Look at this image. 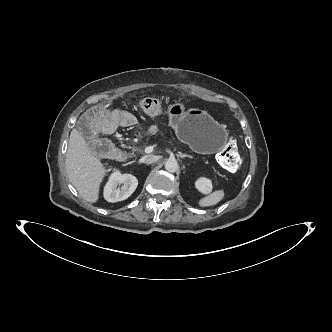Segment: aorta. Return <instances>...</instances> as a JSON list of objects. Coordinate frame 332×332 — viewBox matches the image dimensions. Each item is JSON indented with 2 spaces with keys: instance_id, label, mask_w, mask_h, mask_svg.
I'll use <instances>...</instances> for the list:
<instances>
[{
  "instance_id": "762f6f07",
  "label": "aorta",
  "mask_w": 332,
  "mask_h": 332,
  "mask_svg": "<svg viewBox=\"0 0 332 332\" xmlns=\"http://www.w3.org/2000/svg\"><path fill=\"white\" fill-rule=\"evenodd\" d=\"M178 168V163L175 158H169L165 163V169L170 173L176 172Z\"/></svg>"
}]
</instances>
